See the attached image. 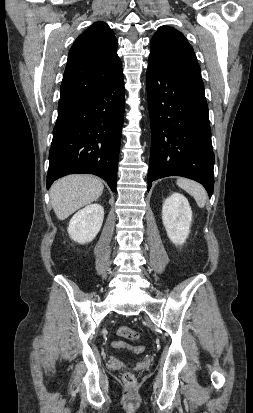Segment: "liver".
Segmentation results:
<instances>
[{
	"instance_id": "1",
	"label": "liver",
	"mask_w": 253,
	"mask_h": 413,
	"mask_svg": "<svg viewBox=\"0 0 253 413\" xmlns=\"http://www.w3.org/2000/svg\"><path fill=\"white\" fill-rule=\"evenodd\" d=\"M104 189L103 183L91 175L75 174L63 177L52 185L50 200L59 220L96 201Z\"/></svg>"
}]
</instances>
